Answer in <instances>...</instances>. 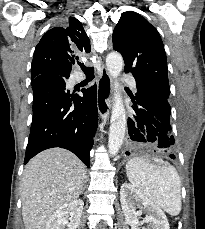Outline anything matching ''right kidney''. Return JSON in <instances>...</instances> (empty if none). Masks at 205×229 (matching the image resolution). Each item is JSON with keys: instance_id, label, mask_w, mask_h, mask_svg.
Masks as SVG:
<instances>
[{"instance_id": "ca27d5eb", "label": "right kidney", "mask_w": 205, "mask_h": 229, "mask_svg": "<svg viewBox=\"0 0 205 229\" xmlns=\"http://www.w3.org/2000/svg\"><path fill=\"white\" fill-rule=\"evenodd\" d=\"M84 202L74 200L59 207L49 218L45 229H76L80 222Z\"/></svg>"}]
</instances>
